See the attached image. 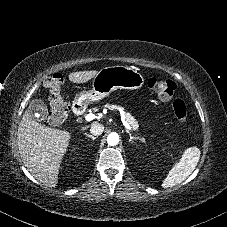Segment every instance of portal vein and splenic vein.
<instances>
[{"label":"portal vein and splenic vein","instance_id":"1","mask_svg":"<svg viewBox=\"0 0 227 227\" xmlns=\"http://www.w3.org/2000/svg\"><path fill=\"white\" fill-rule=\"evenodd\" d=\"M94 118H95V115L93 113L87 114L85 116V120L88 122L94 120ZM123 124L128 130H133V128L127 122L124 121Z\"/></svg>","mask_w":227,"mask_h":227}]
</instances>
